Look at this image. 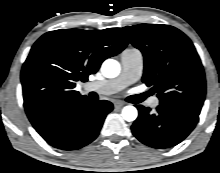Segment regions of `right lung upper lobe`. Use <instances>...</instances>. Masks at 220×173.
Segmentation results:
<instances>
[{
  "label": "right lung upper lobe",
  "instance_id": "right-lung-upper-lobe-1",
  "mask_svg": "<svg viewBox=\"0 0 220 173\" xmlns=\"http://www.w3.org/2000/svg\"><path fill=\"white\" fill-rule=\"evenodd\" d=\"M127 44L117 28L45 33L33 45L22 68L24 106L35 102L43 110L79 95L75 82H86L105 59L119 54Z\"/></svg>",
  "mask_w": 220,
  "mask_h": 173
}]
</instances>
